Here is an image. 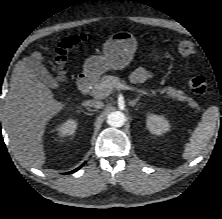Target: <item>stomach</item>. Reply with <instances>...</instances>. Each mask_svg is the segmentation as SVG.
<instances>
[{
	"label": "stomach",
	"instance_id": "stomach-1",
	"mask_svg": "<svg viewBox=\"0 0 222 219\" xmlns=\"http://www.w3.org/2000/svg\"><path fill=\"white\" fill-rule=\"evenodd\" d=\"M138 43L131 32L112 34L103 46V56L88 58L83 66L87 78H98L109 70H121L133 60Z\"/></svg>",
	"mask_w": 222,
	"mask_h": 219
}]
</instances>
